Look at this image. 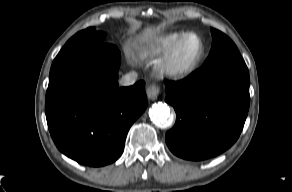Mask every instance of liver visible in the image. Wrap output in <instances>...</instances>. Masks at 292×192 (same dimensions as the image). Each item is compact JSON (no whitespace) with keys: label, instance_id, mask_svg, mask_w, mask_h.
I'll use <instances>...</instances> for the list:
<instances>
[{"label":"liver","instance_id":"6515ba94","mask_svg":"<svg viewBox=\"0 0 292 192\" xmlns=\"http://www.w3.org/2000/svg\"><path fill=\"white\" fill-rule=\"evenodd\" d=\"M158 28L156 27H146L141 35L138 37L140 43L149 42L156 37Z\"/></svg>","mask_w":292,"mask_h":192}]
</instances>
